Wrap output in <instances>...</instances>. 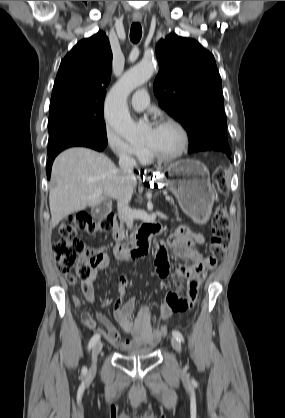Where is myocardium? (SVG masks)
Segmentation results:
<instances>
[{"instance_id": "1", "label": "myocardium", "mask_w": 285, "mask_h": 418, "mask_svg": "<svg viewBox=\"0 0 285 418\" xmlns=\"http://www.w3.org/2000/svg\"><path fill=\"white\" fill-rule=\"evenodd\" d=\"M161 125L173 126L179 131L181 135V144L179 146V149L171 155H161L155 152L150 146H146L147 156L151 159L163 162L173 161L175 159L180 158L187 151L189 144V135L186 128L179 121L173 118H164L163 120H161L159 126Z\"/></svg>"}]
</instances>
